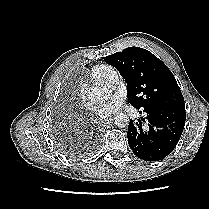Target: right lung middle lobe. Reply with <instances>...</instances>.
<instances>
[{
    "label": "right lung middle lobe",
    "instance_id": "1",
    "mask_svg": "<svg viewBox=\"0 0 209 209\" xmlns=\"http://www.w3.org/2000/svg\"><path fill=\"white\" fill-rule=\"evenodd\" d=\"M59 148L63 153H65L71 157H75V156L79 155V153H80L79 150H77L76 148H73L70 145L65 144V143L59 144Z\"/></svg>",
    "mask_w": 209,
    "mask_h": 209
}]
</instances>
